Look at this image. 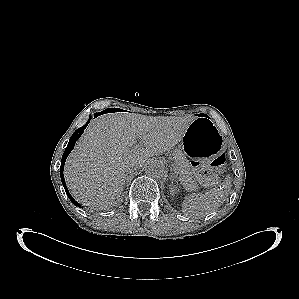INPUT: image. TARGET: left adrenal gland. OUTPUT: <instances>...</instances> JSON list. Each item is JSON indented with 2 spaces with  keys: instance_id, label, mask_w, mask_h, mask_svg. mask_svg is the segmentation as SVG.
<instances>
[{
  "instance_id": "left-adrenal-gland-1",
  "label": "left adrenal gland",
  "mask_w": 299,
  "mask_h": 299,
  "mask_svg": "<svg viewBox=\"0 0 299 299\" xmlns=\"http://www.w3.org/2000/svg\"><path fill=\"white\" fill-rule=\"evenodd\" d=\"M173 171L174 170L171 168V176H170L171 180H174V178H177L176 175L173 173Z\"/></svg>"
}]
</instances>
